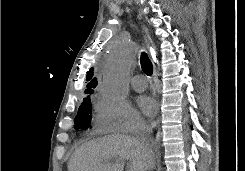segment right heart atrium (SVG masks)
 I'll return each instance as SVG.
<instances>
[{
	"instance_id": "d8ad5b80",
	"label": "right heart atrium",
	"mask_w": 245,
	"mask_h": 171,
	"mask_svg": "<svg viewBox=\"0 0 245 171\" xmlns=\"http://www.w3.org/2000/svg\"><path fill=\"white\" fill-rule=\"evenodd\" d=\"M94 127L98 133H133L143 129L145 122L130 104L100 94L94 106Z\"/></svg>"
}]
</instances>
